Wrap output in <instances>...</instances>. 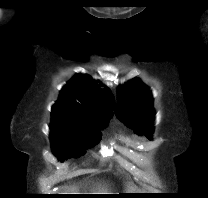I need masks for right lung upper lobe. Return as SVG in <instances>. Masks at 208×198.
I'll return each mask as SVG.
<instances>
[{
  "label": "right lung upper lobe",
  "instance_id": "right-lung-upper-lobe-1",
  "mask_svg": "<svg viewBox=\"0 0 208 198\" xmlns=\"http://www.w3.org/2000/svg\"><path fill=\"white\" fill-rule=\"evenodd\" d=\"M113 99L107 88L90 76L78 74L60 91L59 100L52 107V117H76L88 121L110 119Z\"/></svg>",
  "mask_w": 208,
  "mask_h": 198
}]
</instances>
